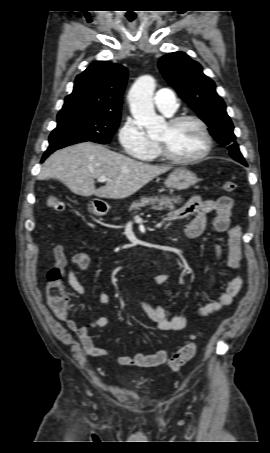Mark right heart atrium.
Instances as JSON below:
<instances>
[{"mask_svg": "<svg viewBox=\"0 0 270 453\" xmlns=\"http://www.w3.org/2000/svg\"><path fill=\"white\" fill-rule=\"evenodd\" d=\"M118 139L124 153L135 158H143L154 147V142L131 117L126 118L122 123L118 131Z\"/></svg>", "mask_w": 270, "mask_h": 453, "instance_id": "obj_1", "label": "right heart atrium"}]
</instances>
